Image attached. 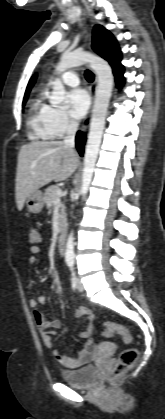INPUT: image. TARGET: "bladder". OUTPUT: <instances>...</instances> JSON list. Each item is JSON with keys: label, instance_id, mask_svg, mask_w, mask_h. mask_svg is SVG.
Returning a JSON list of instances; mask_svg holds the SVG:
<instances>
[{"label": "bladder", "instance_id": "31cf9c89", "mask_svg": "<svg viewBox=\"0 0 165 419\" xmlns=\"http://www.w3.org/2000/svg\"><path fill=\"white\" fill-rule=\"evenodd\" d=\"M61 378L71 387L88 388L98 380V367L89 365L76 370L62 371Z\"/></svg>", "mask_w": 165, "mask_h": 419}]
</instances>
